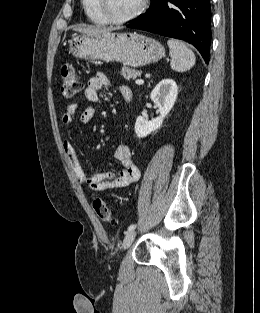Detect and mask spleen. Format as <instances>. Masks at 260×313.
Instances as JSON below:
<instances>
[{
  "instance_id": "1",
  "label": "spleen",
  "mask_w": 260,
  "mask_h": 313,
  "mask_svg": "<svg viewBox=\"0 0 260 313\" xmlns=\"http://www.w3.org/2000/svg\"><path fill=\"white\" fill-rule=\"evenodd\" d=\"M167 44L170 51V66L172 70L185 72L195 65V54L185 45V43L171 39Z\"/></svg>"
}]
</instances>
